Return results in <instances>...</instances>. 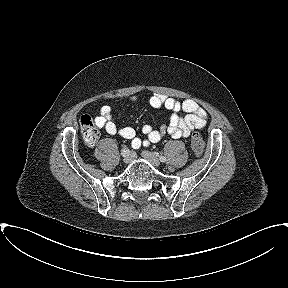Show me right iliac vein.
Here are the masks:
<instances>
[{"label":"right iliac vein","instance_id":"63e3f726","mask_svg":"<svg viewBox=\"0 0 288 288\" xmlns=\"http://www.w3.org/2000/svg\"><path fill=\"white\" fill-rule=\"evenodd\" d=\"M129 153H130V152H129ZM121 154H122V153H121ZM132 159H133V154L130 153V158H129V159H124V158H123V162L127 164V163H130V162L132 161Z\"/></svg>","mask_w":288,"mask_h":288}]
</instances>
